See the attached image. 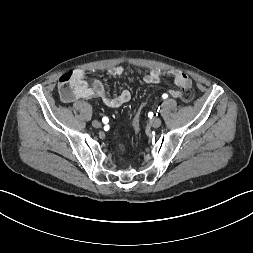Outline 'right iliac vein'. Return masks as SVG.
Returning a JSON list of instances; mask_svg holds the SVG:
<instances>
[{
	"mask_svg": "<svg viewBox=\"0 0 253 253\" xmlns=\"http://www.w3.org/2000/svg\"><path fill=\"white\" fill-rule=\"evenodd\" d=\"M92 126L95 128H99L101 126V123L97 120L92 121Z\"/></svg>",
	"mask_w": 253,
	"mask_h": 253,
	"instance_id": "1",
	"label": "right iliac vein"
}]
</instances>
